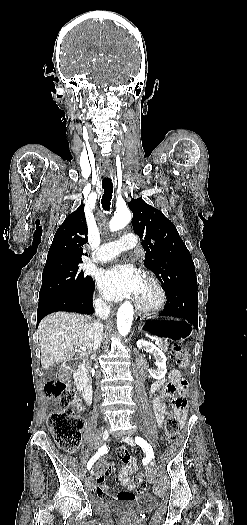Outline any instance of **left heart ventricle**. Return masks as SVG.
Segmentation results:
<instances>
[{
    "label": "left heart ventricle",
    "instance_id": "obj_1",
    "mask_svg": "<svg viewBox=\"0 0 247 525\" xmlns=\"http://www.w3.org/2000/svg\"><path fill=\"white\" fill-rule=\"evenodd\" d=\"M136 266V260L132 253H124L119 258V267L121 270L134 269ZM138 299L150 302L155 301L158 298V291L153 283L147 279H141V291L138 294Z\"/></svg>",
    "mask_w": 247,
    "mask_h": 525
}]
</instances>
